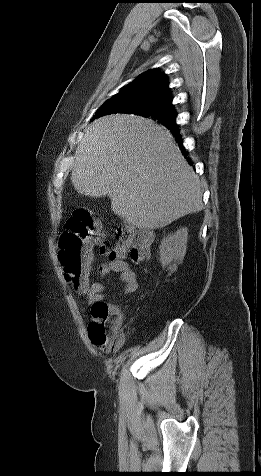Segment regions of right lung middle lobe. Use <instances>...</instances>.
Masks as SVG:
<instances>
[{"label": "right lung middle lobe", "instance_id": "right-lung-middle-lobe-1", "mask_svg": "<svg viewBox=\"0 0 261 476\" xmlns=\"http://www.w3.org/2000/svg\"><path fill=\"white\" fill-rule=\"evenodd\" d=\"M117 112L135 114L147 118L150 117L154 120H158V122L162 123L163 125L176 122V116L173 108L164 103L158 101L123 103L117 96H114L101 108H99L93 119Z\"/></svg>", "mask_w": 261, "mask_h": 476}]
</instances>
